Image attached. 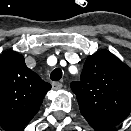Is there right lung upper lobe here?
Wrapping results in <instances>:
<instances>
[{
	"label": "right lung upper lobe",
	"mask_w": 131,
	"mask_h": 131,
	"mask_svg": "<svg viewBox=\"0 0 131 131\" xmlns=\"http://www.w3.org/2000/svg\"><path fill=\"white\" fill-rule=\"evenodd\" d=\"M51 85L30 70L15 51L0 56V125L21 129L38 112Z\"/></svg>",
	"instance_id": "cb5924a9"
}]
</instances>
